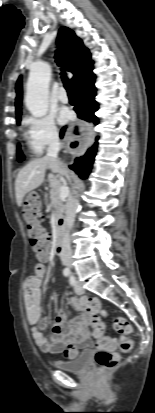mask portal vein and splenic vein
<instances>
[{
	"label": "portal vein and splenic vein",
	"mask_w": 155,
	"mask_h": 413,
	"mask_svg": "<svg viewBox=\"0 0 155 413\" xmlns=\"http://www.w3.org/2000/svg\"><path fill=\"white\" fill-rule=\"evenodd\" d=\"M69 194H70V190L68 186H62L60 188L59 197L61 200H64L65 198H67Z\"/></svg>",
	"instance_id": "portal-vein-and-splenic-vein-1"
}]
</instances>
